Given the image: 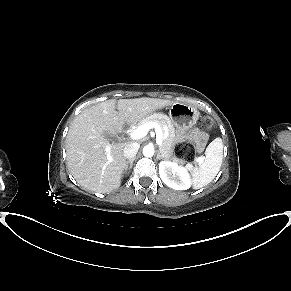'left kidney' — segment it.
Here are the masks:
<instances>
[{
    "instance_id": "1",
    "label": "left kidney",
    "mask_w": 291,
    "mask_h": 291,
    "mask_svg": "<svg viewBox=\"0 0 291 291\" xmlns=\"http://www.w3.org/2000/svg\"><path fill=\"white\" fill-rule=\"evenodd\" d=\"M159 174L164 184L175 190H187L191 187L192 180L188 167L179 166L176 162L161 161Z\"/></svg>"
}]
</instances>
